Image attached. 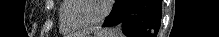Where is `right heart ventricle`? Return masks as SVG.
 I'll return each instance as SVG.
<instances>
[{"mask_svg": "<svg viewBox=\"0 0 219 37\" xmlns=\"http://www.w3.org/2000/svg\"><path fill=\"white\" fill-rule=\"evenodd\" d=\"M71 4L68 1H61L58 14H59V23H60V30L63 34L73 33L79 28L72 26L68 20L66 19V12L70 8Z\"/></svg>", "mask_w": 219, "mask_h": 37, "instance_id": "right-heart-ventricle-1", "label": "right heart ventricle"}]
</instances>
